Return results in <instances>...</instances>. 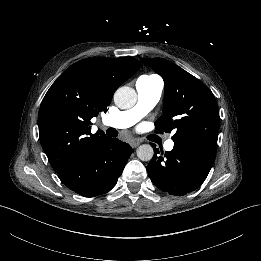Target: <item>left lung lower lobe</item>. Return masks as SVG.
<instances>
[{"label": "left lung lower lobe", "instance_id": "obj_1", "mask_svg": "<svg viewBox=\"0 0 261 261\" xmlns=\"http://www.w3.org/2000/svg\"><path fill=\"white\" fill-rule=\"evenodd\" d=\"M153 145V144H152ZM217 144L202 139L174 142L173 150L158 156L159 150L147 166L153 184L172 195H186L206 179L215 160Z\"/></svg>", "mask_w": 261, "mask_h": 261}]
</instances>
